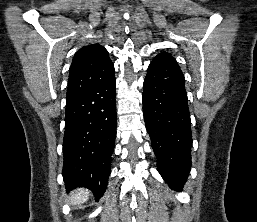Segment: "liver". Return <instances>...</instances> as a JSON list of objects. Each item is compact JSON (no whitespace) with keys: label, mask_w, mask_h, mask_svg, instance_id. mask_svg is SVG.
Listing matches in <instances>:
<instances>
[{"label":"liver","mask_w":257,"mask_h":222,"mask_svg":"<svg viewBox=\"0 0 257 222\" xmlns=\"http://www.w3.org/2000/svg\"><path fill=\"white\" fill-rule=\"evenodd\" d=\"M89 192L85 189H77L71 195V204H81L88 200Z\"/></svg>","instance_id":"liver-1"}]
</instances>
